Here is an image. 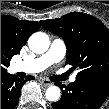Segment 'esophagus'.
Returning <instances> with one entry per match:
<instances>
[{"label":"esophagus","mask_w":109,"mask_h":109,"mask_svg":"<svg viewBox=\"0 0 109 109\" xmlns=\"http://www.w3.org/2000/svg\"><path fill=\"white\" fill-rule=\"evenodd\" d=\"M40 82L44 85V86H50L52 83L46 79L41 78Z\"/></svg>","instance_id":"esophagus-1"}]
</instances>
